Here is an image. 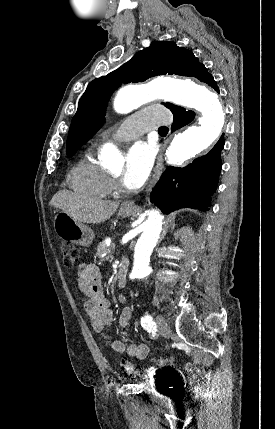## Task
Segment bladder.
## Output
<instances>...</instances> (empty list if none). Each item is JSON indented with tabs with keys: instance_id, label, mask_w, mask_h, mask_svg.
<instances>
[{
	"instance_id": "1",
	"label": "bladder",
	"mask_w": 275,
	"mask_h": 429,
	"mask_svg": "<svg viewBox=\"0 0 275 429\" xmlns=\"http://www.w3.org/2000/svg\"><path fill=\"white\" fill-rule=\"evenodd\" d=\"M146 391L148 393H153L154 391L156 393H161L163 391V386L161 384H156L155 386L153 384H148L146 386Z\"/></svg>"
}]
</instances>
